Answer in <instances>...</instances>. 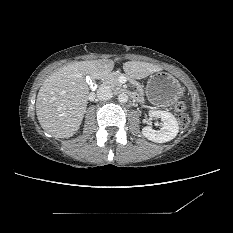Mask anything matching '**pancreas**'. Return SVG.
Returning a JSON list of instances; mask_svg holds the SVG:
<instances>
[{"label": "pancreas", "mask_w": 233, "mask_h": 233, "mask_svg": "<svg viewBox=\"0 0 233 233\" xmlns=\"http://www.w3.org/2000/svg\"><path fill=\"white\" fill-rule=\"evenodd\" d=\"M122 74L120 72H113L111 74H108L105 77V83L107 85H109L111 88H116L119 89L121 88L122 84L119 82V77ZM134 85L137 87V90L141 93L143 91L142 87L138 84L134 82Z\"/></svg>", "instance_id": "1"}]
</instances>
